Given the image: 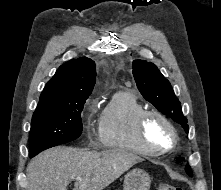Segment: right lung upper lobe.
I'll use <instances>...</instances> for the list:
<instances>
[{
	"label": "right lung upper lobe",
	"instance_id": "obj_1",
	"mask_svg": "<svg viewBox=\"0 0 221 190\" xmlns=\"http://www.w3.org/2000/svg\"><path fill=\"white\" fill-rule=\"evenodd\" d=\"M95 75L93 60L87 57L69 60L58 68L46 84L37 107L86 101L95 85Z\"/></svg>",
	"mask_w": 221,
	"mask_h": 190
}]
</instances>
